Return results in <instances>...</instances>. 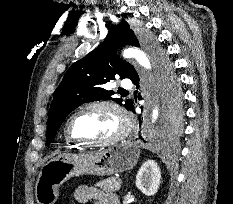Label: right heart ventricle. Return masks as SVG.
Listing matches in <instances>:
<instances>
[{
	"mask_svg": "<svg viewBox=\"0 0 233 204\" xmlns=\"http://www.w3.org/2000/svg\"><path fill=\"white\" fill-rule=\"evenodd\" d=\"M65 141L69 146L79 147L80 145H82V144L72 141L71 139L67 137V135H65Z\"/></svg>",
	"mask_w": 233,
	"mask_h": 204,
	"instance_id": "1",
	"label": "right heart ventricle"
}]
</instances>
